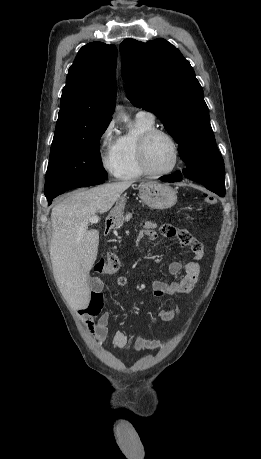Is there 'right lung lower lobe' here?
<instances>
[{"instance_id":"obj_1","label":"right lung lower lobe","mask_w":261,"mask_h":459,"mask_svg":"<svg viewBox=\"0 0 261 459\" xmlns=\"http://www.w3.org/2000/svg\"><path fill=\"white\" fill-rule=\"evenodd\" d=\"M103 181H97V182H93V183H85V184H82V185H78V186H75L73 188H79V187H88V186H91V185H96V184H100V183H103ZM71 188V189H73ZM58 196V195H57ZM56 196H53V197H48V203L51 204L52 200L55 198Z\"/></svg>"}]
</instances>
